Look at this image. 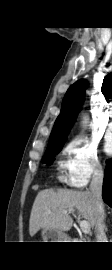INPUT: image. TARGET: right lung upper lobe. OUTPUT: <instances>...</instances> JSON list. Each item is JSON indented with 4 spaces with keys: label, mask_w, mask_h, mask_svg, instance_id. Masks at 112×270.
I'll return each mask as SVG.
<instances>
[{
    "label": "right lung upper lobe",
    "mask_w": 112,
    "mask_h": 270,
    "mask_svg": "<svg viewBox=\"0 0 112 270\" xmlns=\"http://www.w3.org/2000/svg\"><path fill=\"white\" fill-rule=\"evenodd\" d=\"M87 85L86 80H80L67 90L62 102L60 115L55 121L48 144L65 142L76 114L80 110V105L83 103ZM101 91L106 98H112V72L104 78Z\"/></svg>",
    "instance_id": "obj_1"
}]
</instances>
